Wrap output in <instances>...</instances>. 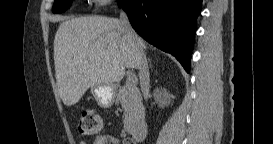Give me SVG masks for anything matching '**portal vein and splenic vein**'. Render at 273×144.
I'll return each mask as SVG.
<instances>
[{"label": "portal vein and splenic vein", "mask_w": 273, "mask_h": 144, "mask_svg": "<svg viewBox=\"0 0 273 144\" xmlns=\"http://www.w3.org/2000/svg\"><path fill=\"white\" fill-rule=\"evenodd\" d=\"M126 84L129 86V87H133V86H136L137 84V78L135 75H129L128 78H127V81H126Z\"/></svg>", "instance_id": "18ae733b"}]
</instances>
